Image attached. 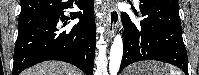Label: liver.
<instances>
[{"mask_svg":"<svg viewBox=\"0 0 199 75\" xmlns=\"http://www.w3.org/2000/svg\"><path fill=\"white\" fill-rule=\"evenodd\" d=\"M21 75H82V72L64 62L48 61L25 70Z\"/></svg>","mask_w":199,"mask_h":75,"instance_id":"1","label":"liver"}]
</instances>
